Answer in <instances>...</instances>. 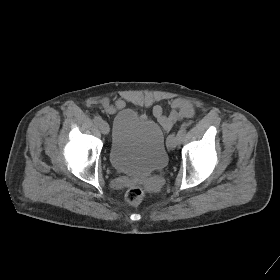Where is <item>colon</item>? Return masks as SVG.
Returning a JSON list of instances; mask_svg holds the SVG:
<instances>
[{
    "instance_id": "colon-1",
    "label": "colon",
    "mask_w": 280,
    "mask_h": 280,
    "mask_svg": "<svg viewBox=\"0 0 280 280\" xmlns=\"http://www.w3.org/2000/svg\"><path fill=\"white\" fill-rule=\"evenodd\" d=\"M145 190L141 186L129 188L125 194V200L131 205L139 204L144 198Z\"/></svg>"
}]
</instances>
